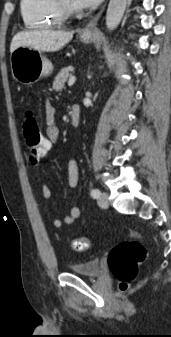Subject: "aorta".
Listing matches in <instances>:
<instances>
[{
    "mask_svg": "<svg viewBox=\"0 0 171 337\" xmlns=\"http://www.w3.org/2000/svg\"><path fill=\"white\" fill-rule=\"evenodd\" d=\"M127 0H110L106 13V26L112 31L114 30L124 15Z\"/></svg>",
    "mask_w": 171,
    "mask_h": 337,
    "instance_id": "obj_1",
    "label": "aorta"
}]
</instances>
